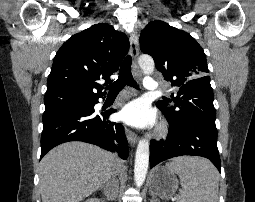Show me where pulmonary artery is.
Segmentation results:
<instances>
[{
	"label": "pulmonary artery",
	"mask_w": 255,
	"mask_h": 202,
	"mask_svg": "<svg viewBox=\"0 0 255 202\" xmlns=\"http://www.w3.org/2000/svg\"><path fill=\"white\" fill-rule=\"evenodd\" d=\"M144 87L148 91H156L158 89V82L154 78L147 76L144 79Z\"/></svg>",
	"instance_id": "pulmonary-artery-1"
}]
</instances>
